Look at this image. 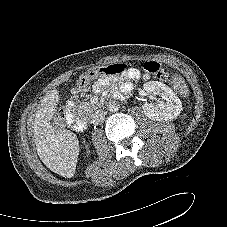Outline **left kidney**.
I'll list each match as a JSON object with an SVG mask.
<instances>
[{
	"instance_id": "obj_1",
	"label": "left kidney",
	"mask_w": 227,
	"mask_h": 227,
	"mask_svg": "<svg viewBox=\"0 0 227 227\" xmlns=\"http://www.w3.org/2000/svg\"><path fill=\"white\" fill-rule=\"evenodd\" d=\"M144 90L153 96H160L156 104L145 103L142 108L145 115L156 121L177 118L182 111V103L175 92L158 81H150L143 85Z\"/></svg>"
}]
</instances>
